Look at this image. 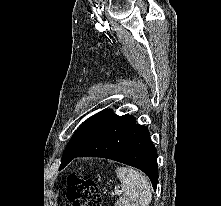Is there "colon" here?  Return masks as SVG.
Masks as SVG:
<instances>
[{
    "mask_svg": "<svg viewBox=\"0 0 221 206\" xmlns=\"http://www.w3.org/2000/svg\"><path fill=\"white\" fill-rule=\"evenodd\" d=\"M66 184L67 198L72 206H102V196L92 179L72 174L67 177Z\"/></svg>",
    "mask_w": 221,
    "mask_h": 206,
    "instance_id": "1",
    "label": "colon"
}]
</instances>
